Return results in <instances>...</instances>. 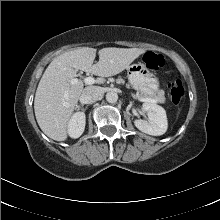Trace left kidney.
<instances>
[{
  "label": "left kidney",
  "mask_w": 220,
  "mask_h": 220,
  "mask_svg": "<svg viewBox=\"0 0 220 220\" xmlns=\"http://www.w3.org/2000/svg\"><path fill=\"white\" fill-rule=\"evenodd\" d=\"M142 109L147 113L148 121L137 119L134 121V125L146 134L153 136L163 135L168 127L164 108L157 104L146 102L142 105Z\"/></svg>",
  "instance_id": "5707ae66"
}]
</instances>
